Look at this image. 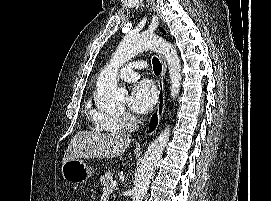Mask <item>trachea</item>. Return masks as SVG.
<instances>
[{
	"label": "trachea",
	"instance_id": "trachea-1",
	"mask_svg": "<svg viewBox=\"0 0 271 201\" xmlns=\"http://www.w3.org/2000/svg\"><path fill=\"white\" fill-rule=\"evenodd\" d=\"M152 64H153V70H154V73H155L156 75H160V73H161V71H162V65H161L159 59L156 58V57H153V59H152Z\"/></svg>",
	"mask_w": 271,
	"mask_h": 201
}]
</instances>
